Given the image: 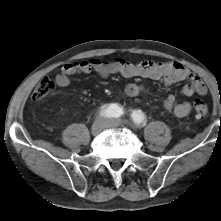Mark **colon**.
Listing matches in <instances>:
<instances>
[{"label":"colon","mask_w":221,"mask_h":221,"mask_svg":"<svg viewBox=\"0 0 221 221\" xmlns=\"http://www.w3.org/2000/svg\"><path fill=\"white\" fill-rule=\"evenodd\" d=\"M55 89L54 81L49 77H44L37 84L33 91L32 99L36 102L43 100L50 95ZM194 111L198 118H205L208 115V107L201 100H195L193 105Z\"/></svg>","instance_id":"colon-1"}]
</instances>
